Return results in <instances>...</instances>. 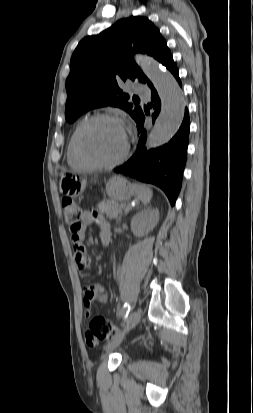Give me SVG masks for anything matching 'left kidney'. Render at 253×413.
<instances>
[{
	"label": "left kidney",
	"mask_w": 253,
	"mask_h": 413,
	"mask_svg": "<svg viewBox=\"0 0 253 413\" xmlns=\"http://www.w3.org/2000/svg\"><path fill=\"white\" fill-rule=\"evenodd\" d=\"M159 221V210H143L131 220V229L135 235L144 236L153 230Z\"/></svg>",
	"instance_id": "5707ae66"
}]
</instances>
